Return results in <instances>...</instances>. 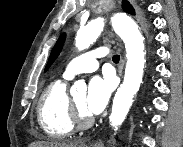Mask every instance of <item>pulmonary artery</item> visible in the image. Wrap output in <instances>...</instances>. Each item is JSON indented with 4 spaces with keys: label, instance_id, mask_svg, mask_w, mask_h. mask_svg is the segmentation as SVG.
<instances>
[{
    "label": "pulmonary artery",
    "instance_id": "e3ab8cb5",
    "mask_svg": "<svg viewBox=\"0 0 183 147\" xmlns=\"http://www.w3.org/2000/svg\"><path fill=\"white\" fill-rule=\"evenodd\" d=\"M110 52L106 46L99 47L97 49L82 53L73 58L63 73L64 78L72 79L80 73H90L95 71L98 66V59L105 57Z\"/></svg>",
    "mask_w": 183,
    "mask_h": 147
}]
</instances>
